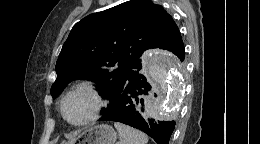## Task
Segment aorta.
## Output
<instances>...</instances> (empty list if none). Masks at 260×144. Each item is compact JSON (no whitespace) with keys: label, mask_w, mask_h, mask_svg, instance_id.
I'll return each instance as SVG.
<instances>
[{"label":"aorta","mask_w":260,"mask_h":144,"mask_svg":"<svg viewBox=\"0 0 260 144\" xmlns=\"http://www.w3.org/2000/svg\"><path fill=\"white\" fill-rule=\"evenodd\" d=\"M148 75L160 91L156 115L167 117L178 105L182 82L178 62L168 52H154L146 61Z\"/></svg>","instance_id":"762f6f07"}]
</instances>
